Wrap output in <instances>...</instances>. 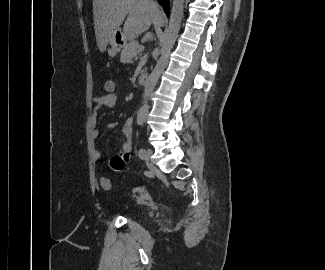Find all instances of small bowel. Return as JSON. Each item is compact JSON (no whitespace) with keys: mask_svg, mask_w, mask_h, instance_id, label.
Instances as JSON below:
<instances>
[{"mask_svg":"<svg viewBox=\"0 0 325 270\" xmlns=\"http://www.w3.org/2000/svg\"><path fill=\"white\" fill-rule=\"evenodd\" d=\"M118 96L115 93L109 95L104 93L101 96L93 98L94 112L91 118V136L94 140L98 139L100 132L96 127L97 113L103 108H114L117 105ZM122 134L124 142L122 144V153L114 156L110 160V167L113 171H120L124 168L127 161H129L132 152V135H133V120L127 119L122 127ZM92 157L94 160L101 158V152L98 148L94 147L92 150Z\"/></svg>","mask_w":325,"mask_h":270,"instance_id":"c3829d8e","label":"small bowel"}]
</instances>
